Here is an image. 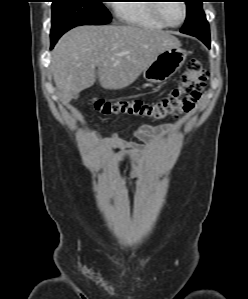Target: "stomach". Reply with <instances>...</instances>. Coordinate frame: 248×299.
Returning <instances> with one entry per match:
<instances>
[{"label":"stomach","mask_w":248,"mask_h":299,"mask_svg":"<svg viewBox=\"0 0 248 299\" xmlns=\"http://www.w3.org/2000/svg\"><path fill=\"white\" fill-rule=\"evenodd\" d=\"M186 56V51L180 47L169 48L163 51L143 71L144 79L149 83L166 81L182 67Z\"/></svg>","instance_id":"1"}]
</instances>
